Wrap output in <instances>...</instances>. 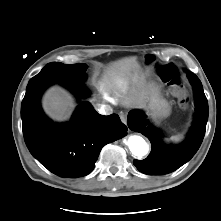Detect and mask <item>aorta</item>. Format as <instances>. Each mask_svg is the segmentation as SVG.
<instances>
[{"mask_svg": "<svg viewBox=\"0 0 221 221\" xmlns=\"http://www.w3.org/2000/svg\"><path fill=\"white\" fill-rule=\"evenodd\" d=\"M128 147L131 153L137 157L145 156L149 151L148 143L138 135H132L128 139Z\"/></svg>", "mask_w": 221, "mask_h": 221, "instance_id": "aorta-1", "label": "aorta"}]
</instances>
